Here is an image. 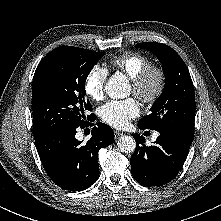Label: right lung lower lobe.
Returning a JSON list of instances; mask_svg holds the SVG:
<instances>
[{
	"label": "right lung lower lobe",
	"instance_id": "right-lung-lower-lobe-1",
	"mask_svg": "<svg viewBox=\"0 0 221 221\" xmlns=\"http://www.w3.org/2000/svg\"><path fill=\"white\" fill-rule=\"evenodd\" d=\"M87 125L85 122L79 127ZM76 129L57 128L34 137L48 176L56 185L70 191L87 189L97 181L98 151L114 142L113 130L104 123H98L92 129V137L86 143L75 138Z\"/></svg>",
	"mask_w": 221,
	"mask_h": 221
}]
</instances>
